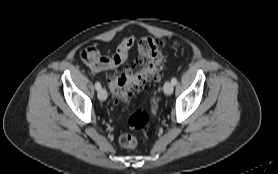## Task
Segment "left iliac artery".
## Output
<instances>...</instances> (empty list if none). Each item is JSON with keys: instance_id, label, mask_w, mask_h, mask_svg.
Here are the masks:
<instances>
[{"instance_id": "44dca946", "label": "left iliac artery", "mask_w": 278, "mask_h": 174, "mask_svg": "<svg viewBox=\"0 0 278 174\" xmlns=\"http://www.w3.org/2000/svg\"><path fill=\"white\" fill-rule=\"evenodd\" d=\"M171 83H172L173 85H176V84H177V79H176L175 77H173V78L171 79Z\"/></svg>"}]
</instances>
